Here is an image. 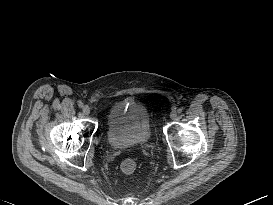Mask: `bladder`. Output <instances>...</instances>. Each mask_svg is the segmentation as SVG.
Wrapping results in <instances>:
<instances>
[{
    "label": "bladder",
    "mask_w": 273,
    "mask_h": 205,
    "mask_svg": "<svg viewBox=\"0 0 273 205\" xmlns=\"http://www.w3.org/2000/svg\"><path fill=\"white\" fill-rule=\"evenodd\" d=\"M106 125L107 141L118 150L146 143L151 133L147 110L135 100L114 104L107 114Z\"/></svg>",
    "instance_id": "bladder-1"
}]
</instances>
